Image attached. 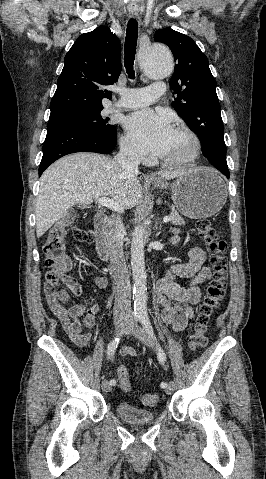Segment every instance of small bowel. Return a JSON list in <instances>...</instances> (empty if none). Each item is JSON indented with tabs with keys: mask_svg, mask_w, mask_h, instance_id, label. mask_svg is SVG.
<instances>
[{
	"mask_svg": "<svg viewBox=\"0 0 266 479\" xmlns=\"http://www.w3.org/2000/svg\"><path fill=\"white\" fill-rule=\"evenodd\" d=\"M176 241L177 238L174 236L171 243L174 244ZM205 261L204 251L196 246L190 251L188 262L172 265L156 284V301L161 308L162 319L176 332L183 331L193 320L195 316L193 305L197 304L201 298L199 284L211 277V269ZM176 277L188 278L190 282L181 284L176 281ZM62 281L65 289L48 290L46 286L44 287L48 307L60 321L69 338L77 346L86 347L93 339V334L86 330L95 325L99 305L86 306L83 303H77L69 308L64 307L70 294L80 296L82 288L75 278L69 275L64 274ZM94 283L98 287L104 288L107 285V280L95 275ZM120 352L125 356L136 355V351L130 347H123Z\"/></svg>",
	"mask_w": 266,
	"mask_h": 479,
	"instance_id": "obj_1",
	"label": "small bowel"
}]
</instances>
